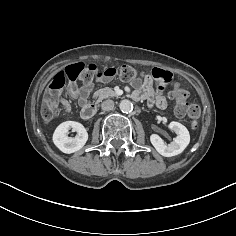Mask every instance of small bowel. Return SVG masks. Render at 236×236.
<instances>
[{
  "instance_id": "small-bowel-1",
  "label": "small bowel",
  "mask_w": 236,
  "mask_h": 236,
  "mask_svg": "<svg viewBox=\"0 0 236 236\" xmlns=\"http://www.w3.org/2000/svg\"><path fill=\"white\" fill-rule=\"evenodd\" d=\"M167 72L165 70L155 68L152 70V72L145 76L144 80L140 82L139 80L133 81V85L136 87V90L133 93V97L136 100H143L147 99L150 101V103L154 104L160 109H164L167 106V100L165 95L162 92H154L153 86L154 83L157 84V86L163 82L164 76ZM105 79L101 78L100 81H104ZM93 83L88 82L85 83L80 88H70L69 93L71 97L74 99H77L79 105L83 106L86 104L88 97L90 95V92L92 90ZM62 106L65 111L70 112L71 105L70 103L63 99Z\"/></svg>"
}]
</instances>
